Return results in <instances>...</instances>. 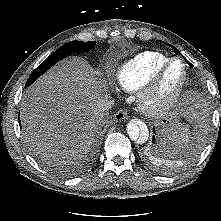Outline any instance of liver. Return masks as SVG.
Returning a JSON list of instances; mask_svg holds the SVG:
<instances>
[{
	"label": "liver",
	"mask_w": 221,
	"mask_h": 221,
	"mask_svg": "<svg viewBox=\"0 0 221 221\" xmlns=\"http://www.w3.org/2000/svg\"><path fill=\"white\" fill-rule=\"evenodd\" d=\"M90 65L64 60L25 92L20 118L26 143L45 160L80 161L102 119L98 103L105 96Z\"/></svg>",
	"instance_id": "1"
}]
</instances>
